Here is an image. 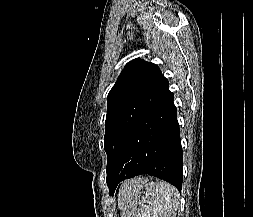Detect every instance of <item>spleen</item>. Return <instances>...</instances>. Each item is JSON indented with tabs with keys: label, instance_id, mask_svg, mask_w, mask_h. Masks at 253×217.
<instances>
[{
	"label": "spleen",
	"instance_id": "spleen-1",
	"mask_svg": "<svg viewBox=\"0 0 253 217\" xmlns=\"http://www.w3.org/2000/svg\"><path fill=\"white\" fill-rule=\"evenodd\" d=\"M177 197V190L167 182L147 183L145 185V196L142 197L137 216L175 217L179 209Z\"/></svg>",
	"mask_w": 253,
	"mask_h": 217
}]
</instances>
